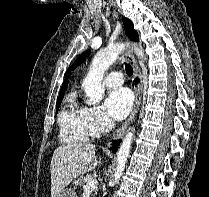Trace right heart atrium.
<instances>
[{"label":"right heart atrium","mask_w":209,"mask_h":197,"mask_svg":"<svg viewBox=\"0 0 209 197\" xmlns=\"http://www.w3.org/2000/svg\"><path fill=\"white\" fill-rule=\"evenodd\" d=\"M85 116L92 136H97L111 126V121L99 106L85 107Z\"/></svg>","instance_id":"d8ad5b80"}]
</instances>
